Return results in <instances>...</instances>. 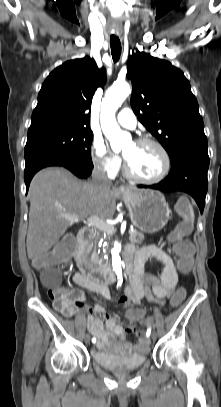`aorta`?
I'll return each instance as SVG.
<instances>
[{
  "label": "aorta",
  "instance_id": "762f6f07",
  "mask_svg": "<svg viewBox=\"0 0 221 407\" xmlns=\"http://www.w3.org/2000/svg\"><path fill=\"white\" fill-rule=\"evenodd\" d=\"M131 94L128 83L114 84L106 92L101 105V128L110 141L112 149L120 146L122 131L116 122L115 113L124 100ZM121 244L117 241L112 249V267L118 279L122 280Z\"/></svg>",
  "mask_w": 221,
  "mask_h": 407
}]
</instances>
